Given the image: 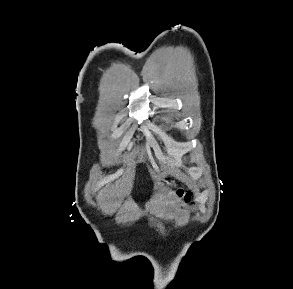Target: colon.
<instances>
[{
    "label": "colon",
    "mask_w": 293,
    "mask_h": 289,
    "mask_svg": "<svg viewBox=\"0 0 293 289\" xmlns=\"http://www.w3.org/2000/svg\"><path fill=\"white\" fill-rule=\"evenodd\" d=\"M178 196H179L180 198H183V199L186 200V201H188V199H189L188 195H186L182 190H179V191H178Z\"/></svg>",
    "instance_id": "5ec220e1"
}]
</instances>
